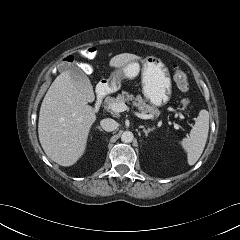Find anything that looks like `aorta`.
Instances as JSON below:
<instances>
[{
    "instance_id": "aorta-1",
    "label": "aorta",
    "mask_w": 240,
    "mask_h": 240,
    "mask_svg": "<svg viewBox=\"0 0 240 240\" xmlns=\"http://www.w3.org/2000/svg\"><path fill=\"white\" fill-rule=\"evenodd\" d=\"M134 135L131 131H125L121 135V141L124 143H130L133 141Z\"/></svg>"
}]
</instances>
